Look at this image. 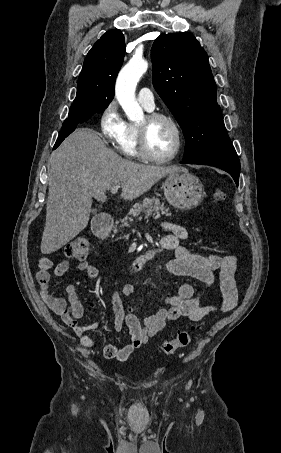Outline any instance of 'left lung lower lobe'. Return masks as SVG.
Returning a JSON list of instances; mask_svg holds the SVG:
<instances>
[{"label": "left lung lower lobe", "mask_w": 281, "mask_h": 453, "mask_svg": "<svg viewBox=\"0 0 281 453\" xmlns=\"http://www.w3.org/2000/svg\"><path fill=\"white\" fill-rule=\"evenodd\" d=\"M181 163L210 165L218 167L228 172L233 177L237 186L239 184L240 161L236 152L217 154L194 160H183Z\"/></svg>", "instance_id": "left-lung-lower-lobe-1"}]
</instances>
